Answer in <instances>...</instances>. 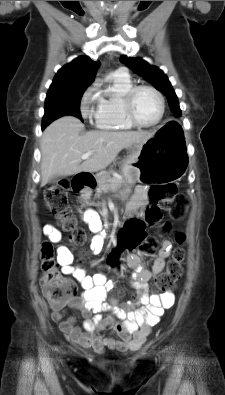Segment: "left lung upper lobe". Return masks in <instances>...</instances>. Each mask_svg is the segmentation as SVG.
Listing matches in <instances>:
<instances>
[{
    "instance_id": "obj_1",
    "label": "left lung upper lobe",
    "mask_w": 225,
    "mask_h": 395,
    "mask_svg": "<svg viewBox=\"0 0 225 395\" xmlns=\"http://www.w3.org/2000/svg\"><path fill=\"white\" fill-rule=\"evenodd\" d=\"M121 62L132 69L136 74L150 82L157 90L161 91L168 99L169 107L176 117L181 116L178 98L167 76L156 66L149 65L141 58L121 56Z\"/></svg>"
}]
</instances>
